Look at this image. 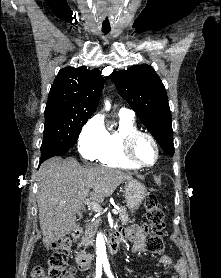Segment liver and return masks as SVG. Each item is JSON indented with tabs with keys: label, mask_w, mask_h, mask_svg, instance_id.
Returning <instances> with one entry per match:
<instances>
[{
	"label": "liver",
	"mask_w": 221,
	"mask_h": 278,
	"mask_svg": "<svg viewBox=\"0 0 221 278\" xmlns=\"http://www.w3.org/2000/svg\"><path fill=\"white\" fill-rule=\"evenodd\" d=\"M129 179L131 175L117 169L82 167L74 158L55 157L44 162L38 171L37 192L43 243L58 241L76 228V214L82 217L87 197L102 203Z\"/></svg>",
	"instance_id": "liver-1"
}]
</instances>
